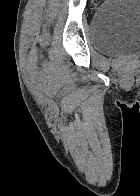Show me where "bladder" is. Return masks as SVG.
<instances>
[{
    "instance_id": "31cf9c89",
    "label": "bladder",
    "mask_w": 140,
    "mask_h": 196,
    "mask_svg": "<svg viewBox=\"0 0 140 196\" xmlns=\"http://www.w3.org/2000/svg\"><path fill=\"white\" fill-rule=\"evenodd\" d=\"M90 41L104 54L140 57V0H105L92 17Z\"/></svg>"
}]
</instances>
